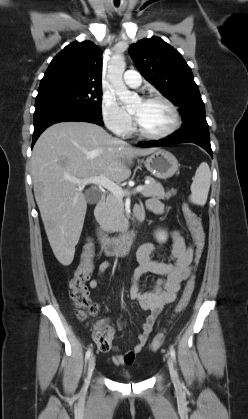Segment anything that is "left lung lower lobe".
I'll return each instance as SVG.
<instances>
[{
    "mask_svg": "<svg viewBox=\"0 0 248 419\" xmlns=\"http://www.w3.org/2000/svg\"><path fill=\"white\" fill-rule=\"evenodd\" d=\"M183 142L195 143L205 149L211 157H213L209 138V126L206 117L194 119L192 122L183 125L180 130L169 137L157 141L141 142L139 145L142 147H154Z\"/></svg>",
    "mask_w": 248,
    "mask_h": 419,
    "instance_id": "1",
    "label": "left lung lower lobe"
}]
</instances>
